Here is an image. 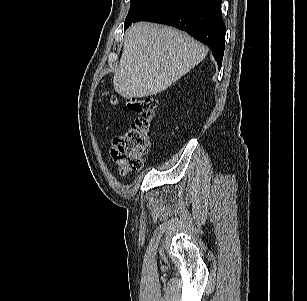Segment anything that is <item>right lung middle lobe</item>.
<instances>
[{"label":"right lung middle lobe","mask_w":307,"mask_h":301,"mask_svg":"<svg viewBox=\"0 0 307 301\" xmlns=\"http://www.w3.org/2000/svg\"><path fill=\"white\" fill-rule=\"evenodd\" d=\"M165 0H131L130 10L125 20V26L152 10Z\"/></svg>","instance_id":"obj_1"}]
</instances>
